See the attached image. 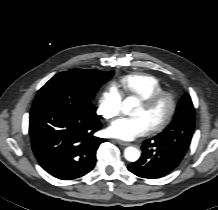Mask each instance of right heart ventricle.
<instances>
[{
	"instance_id": "e07e8e85",
	"label": "right heart ventricle",
	"mask_w": 218,
	"mask_h": 210,
	"mask_svg": "<svg viewBox=\"0 0 218 210\" xmlns=\"http://www.w3.org/2000/svg\"><path fill=\"white\" fill-rule=\"evenodd\" d=\"M114 87L121 95H131L139 99L164 90L160 80L147 73L125 75L114 84Z\"/></svg>"
}]
</instances>
